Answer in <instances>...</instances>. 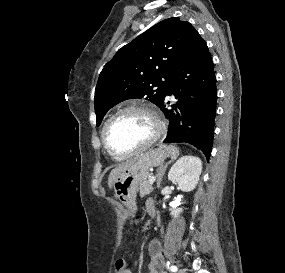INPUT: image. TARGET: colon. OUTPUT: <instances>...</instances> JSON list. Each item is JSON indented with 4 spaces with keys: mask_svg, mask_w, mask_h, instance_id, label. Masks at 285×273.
I'll return each mask as SVG.
<instances>
[{
    "mask_svg": "<svg viewBox=\"0 0 285 273\" xmlns=\"http://www.w3.org/2000/svg\"><path fill=\"white\" fill-rule=\"evenodd\" d=\"M128 272L129 268L126 265L125 260L124 259L117 260L115 273H128Z\"/></svg>",
    "mask_w": 285,
    "mask_h": 273,
    "instance_id": "5ec220e1",
    "label": "colon"
}]
</instances>
